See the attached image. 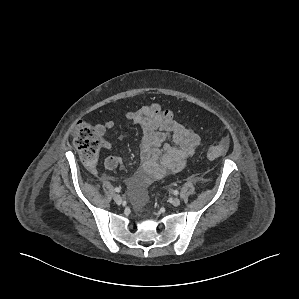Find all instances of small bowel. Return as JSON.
I'll list each match as a JSON object with an SVG mask.
<instances>
[{"label": "small bowel", "mask_w": 299, "mask_h": 299, "mask_svg": "<svg viewBox=\"0 0 299 299\" xmlns=\"http://www.w3.org/2000/svg\"><path fill=\"white\" fill-rule=\"evenodd\" d=\"M128 124L140 126L142 136L140 141V166L136 173L128 180L127 185L132 193L136 206H142L146 201V188L152 182L181 171L200 142L199 136L190 128L178 121H167L160 114L154 112L151 106H144L138 110L125 114ZM114 128L112 120L97 125L96 130L102 136ZM171 140L173 144H169ZM103 147L112 148L110 142L105 141ZM120 163L116 156H108L104 165L108 170L115 169Z\"/></svg>", "instance_id": "1"}]
</instances>
